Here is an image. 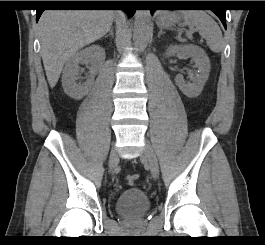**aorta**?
<instances>
[{"instance_id": "1", "label": "aorta", "mask_w": 265, "mask_h": 245, "mask_svg": "<svg viewBox=\"0 0 265 245\" xmlns=\"http://www.w3.org/2000/svg\"><path fill=\"white\" fill-rule=\"evenodd\" d=\"M151 23L150 10H137L134 21V34L137 45L146 43Z\"/></svg>"}]
</instances>
